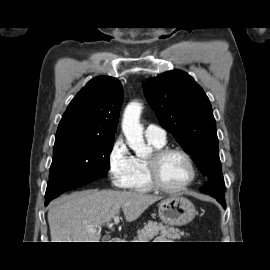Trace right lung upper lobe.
Segmentation results:
<instances>
[{
	"mask_svg": "<svg viewBox=\"0 0 270 270\" xmlns=\"http://www.w3.org/2000/svg\"><path fill=\"white\" fill-rule=\"evenodd\" d=\"M122 101L119 80L109 76L93 78L70 102L56 136L114 138Z\"/></svg>",
	"mask_w": 270,
	"mask_h": 270,
	"instance_id": "cb5924a9",
	"label": "right lung upper lobe"
}]
</instances>
